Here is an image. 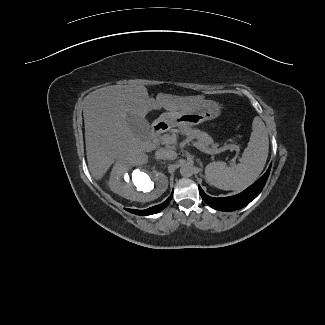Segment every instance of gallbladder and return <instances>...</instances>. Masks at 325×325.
Returning <instances> with one entry per match:
<instances>
[{
    "mask_svg": "<svg viewBox=\"0 0 325 325\" xmlns=\"http://www.w3.org/2000/svg\"><path fill=\"white\" fill-rule=\"evenodd\" d=\"M127 123L135 136L141 138L142 140L150 139V124L145 118L129 113L127 116Z\"/></svg>",
    "mask_w": 325,
    "mask_h": 325,
    "instance_id": "1",
    "label": "gallbladder"
}]
</instances>
